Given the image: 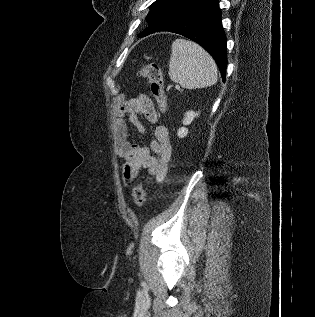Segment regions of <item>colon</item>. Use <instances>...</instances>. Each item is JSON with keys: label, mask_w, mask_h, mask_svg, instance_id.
<instances>
[{"label": "colon", "mask_w": 315, "mask_h": 317, "mask_svg": "<svg viewBox=\"0 0 315 317\" xmlns=\"http://www.w3.org/2000/svg\"><path fill=\"white\" fill-rule=\"evenodd\" d=\"M139 74L146 79L160 111L162 113H165L167 109V103L164 92L163 73L161 68L156 63H146L141 66ZM133 199L137 207L141 208L144 206L146 201V190L142 182H139L134 187Z\"/></svg>", "instance_id": "obj_1"}]
</instances>
